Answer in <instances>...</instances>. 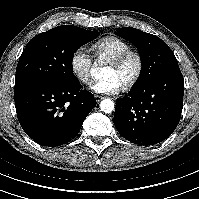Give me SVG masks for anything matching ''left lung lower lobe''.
<instances>
[{"label": "left lung lower lobe", "mask_w": 199, "mask_h": 199, "mask_svg": "<svg viewBox=\"0 0 199 199\" xmlns=\"http://www.w3.org/2000/svg\"><path fill=\"white\" fill-rule=\"evenodd\" d=\"M183 95L184 80L180 69L164 72L116 101L115 127L132 143L157 144L177 127Z\"/></svg>", "instance_id": "obj_1"}]
</instances>
